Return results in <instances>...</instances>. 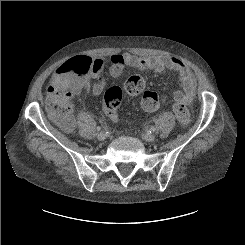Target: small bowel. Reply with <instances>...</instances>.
<instances>
[{"mask_svg":"<svg viewBox=\"0 0 245 245\" xmlns=\"http://www.w3.org/2000/svg\"><path fill=\"white\" fill-rule=\"evenodd\" d=\"M97 60V59H96ZM101 61V60H97ZM110 74L114 77L120 76L124 68L131 67L138 70H155L158 72L169 70L179 76L181 90L174 93L173 99L182 98L185 103L190 104L195 98L196 82L188 67L179 59L172 56H150L139 57L127 52L112 54L109 58ZM64 64L59 65L52 76V81L66 83L70 78L63 72ZM105 88V82L98 81L90 84L89 80L81 81L72 85V92L75 95L88 93L90 96H99ZM172 101L165 106H171Z\"/></svg>","mask_w":245,"mask_h":245,"instance_id":"small-bowel-1","label":"small bowel"}]
</instances>
